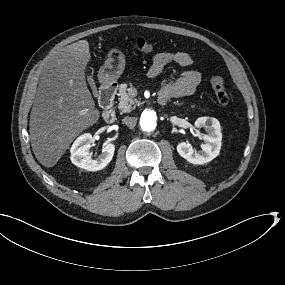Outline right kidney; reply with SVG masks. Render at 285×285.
I'll return each instance as SVG.
<instances>
[{"label": "right kidney", "mask_w": 285, "mask_h": 285, "mask_svg": "<svg viewBox=\"0 0 285 285\" xmlns=\"http://www.w3.org/2000/svg\"><path fill=\"white\" fill-rule=\"evenodd\" d=\"M93 141L90 133L80 135L73 143L71 152V162L77 167L83 168L87 171H98L106 167L112 160L115 146L113 144H107L102 149V153L97 159H92L89 153L91 143Z\"/></svg>", "instance_id": "1"}]
</instances>
